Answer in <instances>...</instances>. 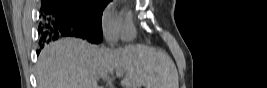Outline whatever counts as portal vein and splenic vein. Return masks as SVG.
<instances>
[{
	"mask_svg": "<svg viewBox=\"0 0 267 88\" xmlns=\"http://www.w3.org/2000/svg\"><path fill=\"white\" fill-rule=\"evenodd\" d=\"M116 75H117V76H122L123 73H122L121 71H118V72H116Z\"/></svg>",
	"mask_w": 267,
	"mask_h": 88,
	"instance_id": "18ae733b",
	"label": "portal vein and splenic vein"
}]
</instances>
